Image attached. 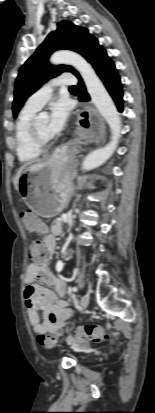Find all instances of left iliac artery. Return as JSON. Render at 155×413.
I'll list each match as a JSON object with an SVG mask.
<instances>
[{
    "mask_svg": "<svg viewBox=\"0 0 155 413\" xmlns=\"http://www.w3.org/2000/svg\"><path fill=\"white\" fill-rule=\"evenodd\" d=\"M77 290H78L77 287H73V288H72V291H73V292H77Z\"/></svg>",
    "mask_w": 155,
    "mask_h": 413,
    "instance_id": "44dca946",
    "label": "left iliac artery"
}]
</instances>
